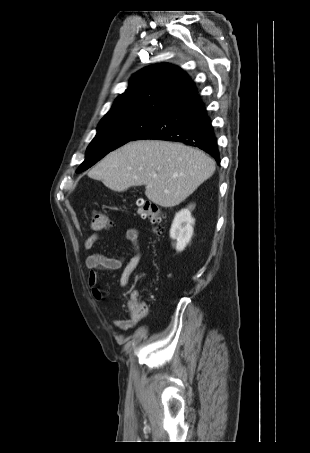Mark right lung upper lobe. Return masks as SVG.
<instances>
[{"label": "right lung upper lobe", "instance_id": "obj_1", "mask_svg": "<svg viewBox=\"0 0 310 453\" xmlns=\"http://www.w3.org/2000/svg\"><path fill=\"white\" fill-rule=\"evenodd\" d=\"M197 88L179 67L168 63L148 66L134 74L126 91L105 115H160Z\"/></svg>", "mask_w": 310, "mask_h": 453}]
</instances>
